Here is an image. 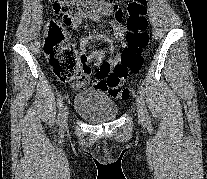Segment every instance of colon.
Instances as JSON below:
<instances>
[{
	"label": "colon",
	"instance_id": "5ec220e1",
	"mask_svg": "<svg viewBox=\"0 0 207 179\" xmlns=\"http://www.w3.org/2000/svg\"><path fill=\"white\" fill-rule=\"evenodd\" d=\"M53 9L63 16V23L84 13L85 7L105 13L115 0H52ZM148 0H129L126 5V46L117 62L93 60L78 50L79 43L56 21L48 22L44 41L45 53L55 77L64 83H89L94 75L95 84L113 98L127 100L130 90L124 86L130 75L138 74L144 63L143 50L149 44L147 32Z\"/></svg>",
	"mask_w": 207,
	"mask_h": 179
}]
</instances>
